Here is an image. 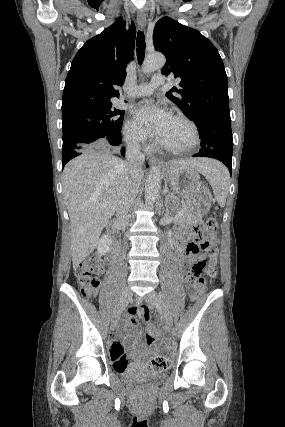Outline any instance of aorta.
I'll use <instances>...</instances> for the list:
<instances>
[{
  "instance_id": "1",
  "label": "aorta",
  "mask_w": 285,
  "mask_h": 427,
  "mask_svg": "<svg viewBox=\"0 0 285 427\" xmlns=\"http://www.w3.org/2000/svg\"><path fill=\"white\" fill-rule=\"evenodd\" d=\"M166 59L162 53L156 52L149 54L143 65L142 71L146 74L152 73L161 69L165 65ZM161 184L160 167L153 166L146 179L145 183V202L148 205L154 204L156 201Z\"/></svg>"
}]
</instances>
